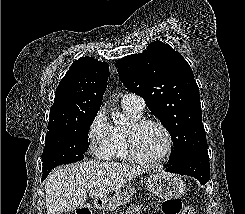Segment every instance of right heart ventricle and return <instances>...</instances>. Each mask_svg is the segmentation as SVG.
Returning <instances> with one entry per match:
<instances>
[{"mask_svg": "<svg viewBox=\"0 0 245 214\" xmlns=\"http://www.w3.org/2000/svg\"><path fill=\"white\" fill-rule=\"evenodd\" d=\"M122 106L125 113L130 118L131 121H136L141 119L143 114L142 111H138L137 109L129 105L122 104ZM125 131L126 128L120 126L113 127L114 140H113V148H112V153L110 158L119 159L122 161L132 160V157L130 156L126 145Z\"/></svg>", "mask_w": 245, "mask_h": 214, "instance_id": "right-heart-ventricle-1", "label": "right heart ventricle"}]
</instances>
